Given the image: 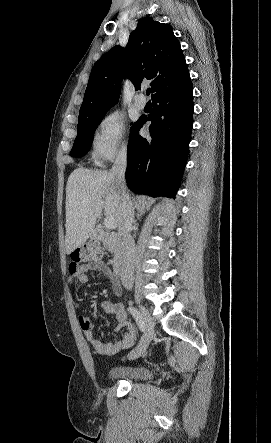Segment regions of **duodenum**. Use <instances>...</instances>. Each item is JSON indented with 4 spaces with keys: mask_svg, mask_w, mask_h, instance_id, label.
<instances>
[{
    "mask_svg": "<svg viewBox=\"0 0 271 443\" xmlns=\"http://www.w3.org/2000/svg\"><path fill=\"white\" fill-rule=\"evenodd\" d=\"M93 235L98 240H106L116 244V256L112 269L118 276L128 273L134 262V247L128 239H121L116 233L95 229Z\"/></svg>",
    "mask_w": 271,
    "mask_h": 443,
    "instance_id": "duodenum-1",
    "label": "duodenum"
}]
</instances>
